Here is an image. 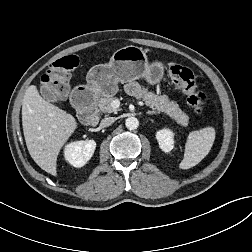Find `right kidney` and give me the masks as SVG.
<instances>
[{
    "label": "right kidney",
    "instance_id": "1",
    "mask_svg": "<svg viewBox=\"0 0 252 252\" xmlns=\"http://www.w3.org/2000/svg\"><path fill=\"white\" fill-rule=\"evenodd\" d=\"M95 148L94 140L72 142L64 149L65 160L74 167H83L93 156Z\"/></svg>",
    "mask_w": 252,
    "mask_h": 252
}]
</instances>
